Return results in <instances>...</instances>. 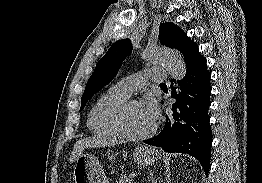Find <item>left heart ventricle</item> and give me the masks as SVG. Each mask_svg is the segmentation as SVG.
<instances>
[{
    "instance_id": "left-heart-ventricle-1",
    "label": "left heart ventricle",
    "mask_w": 262,
    "mask_h": 183,
    "mask_svg": "<svg viewBox=\"0 0 262 183\" xmlns=\"http://www.w3.org/2000/svg\"><path fill=\"white\" fill-rule=\"evenodd\" d=\"M125 125L129 132L133 134H144L154 125L144 113L141 104L132 105L125 115Z\"/></svg>"
}]
</instances>
